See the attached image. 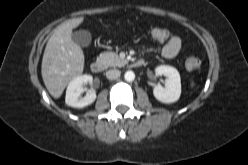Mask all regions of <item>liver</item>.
I'll return each mask as SVG.
<instances>
[{
	"mask_svg": "<svg viewBox=\"0 0 248 165\" xmlns=\"http://www.w3.org/2000/svg\"><path fill=\"white\" fill-rule=\"evenodd\" d=\"M84 18L70 19L55 30L46 44L41 74L48 92L55 99L59 98L67 84L83 72L84 53L72 40V31Z\"/></svg>",
	"mask_w": 248,
	"mask_h": 165,
	"instance_id": "1",
	"label": "liver"
}]
</instances>
